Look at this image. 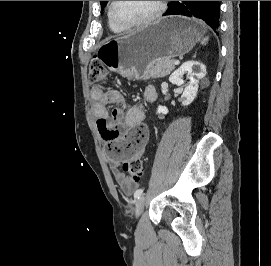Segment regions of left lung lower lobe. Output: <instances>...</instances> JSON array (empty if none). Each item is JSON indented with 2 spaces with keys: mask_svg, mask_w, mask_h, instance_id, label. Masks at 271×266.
<instances>
[{
  "mask_svg": "<svg viewBox=\"0 0 271 266\" xmlns=\"http://www.w3.org/2000/svg\"><path fill=\"white\" fill-rule=\"evenodd\" d=\"M163 15H184L201 19L218 34L220 3L219 1H171Z\"/></svg>",
  "mask_w": 271,
  "mask_h": 266,
  "instance_id": "1",
  "label": "left lung lower lobe"
}]
</instances>
